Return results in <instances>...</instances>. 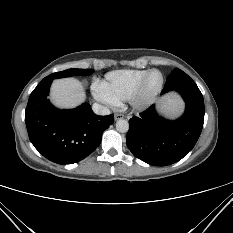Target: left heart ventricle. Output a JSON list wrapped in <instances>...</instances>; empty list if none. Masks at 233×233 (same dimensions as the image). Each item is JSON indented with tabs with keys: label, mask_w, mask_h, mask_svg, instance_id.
I'll use <instances>...</instances> for the list:
<instances>
[{
	"label": "left heart ventricle",
	"mask_w": 233,
	"mask_h": 233,
	"mask_svg": "<svg viewBox=\"0 0 233 233\" xmlns=\"http://www.w3.org/2000/svg\"><path fill=\"white\" fill-rule=\"evenodd\" d=\"M160 80H161L160 75L157 72L152 73L147 81V85H146L147 93L153 92L158 87Z\"/></svg>",
	"instance_id": "b2bd125f"
}]
</instances>
